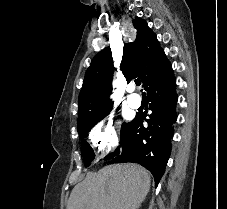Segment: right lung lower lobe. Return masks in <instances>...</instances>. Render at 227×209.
<instances>
[{"label": "right lung lower lobe", "instance_id": "1", "mask_svg": "<svg viewBox=\"0 0 227 209\" xmlns=\"http://www.w3.org/2000/svg\"><path fill=\"white\" fill-rule=\"evenodd\" d=\"M146 91L152 111L146 120L148 127L142 124L145 116L137 114L121 136V151L119 146L105 160L116 156L113 158L116 163L141 164L152 173L157 186L171 154L173 124L177 120L176 79L169 61L149 81Z\"/></svg>", "mask_w": 227, "mask_h": 209}]
</instances>
